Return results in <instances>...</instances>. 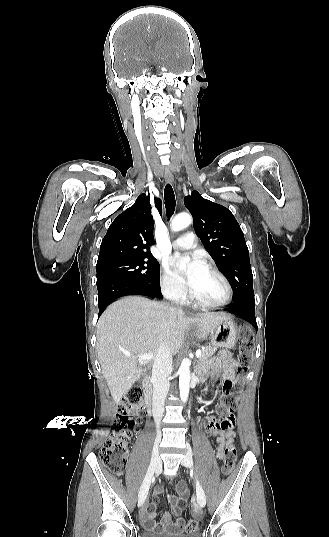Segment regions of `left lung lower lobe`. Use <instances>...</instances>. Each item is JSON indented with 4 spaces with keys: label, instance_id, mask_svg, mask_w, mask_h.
I'll list each match as a JSON object with an SVG mask.
<instances>
[{
    "label": "left lung lower lobe",
    "instance_id": "left-lung-lower-lobe-1",
    "mask_svg": "<svg viewBox=\"0 0 329 537\" xmlns=\"http://www.w3.org/2000/svg\"><path fill=\"white\" fill-rule=\"evenodd\" d=\"M254 310L255 304L248 302H239L236 304H231L230 306L225 308V311L242 318L257 330L258 327Z\"/></svg>",
    "mask_w": 329,
    "mask_h": 537
}]
</instances>
